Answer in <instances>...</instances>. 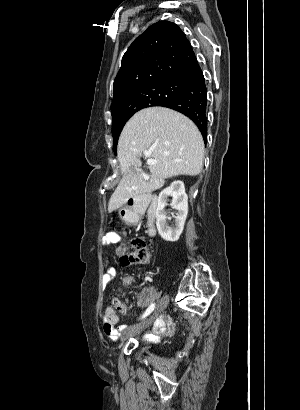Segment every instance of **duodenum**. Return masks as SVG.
Here are the masks:
<instances>
[{"mask_svg":"<svg viewBox=\"0 0 300 410\" xmlns=\"http://www.w3.org/2000/svg\"><path fill=\"white\" fill-rule=\"evenodd\" d=\"M158 210L157 201L154 198H135L129 207L127 222L137 223L142 216L148 220L147 233L154 236L156 233L154 220Z\"/></svg>","mask_w":300,"mask_h":410,"instance_id":"1","label":"duodenum"}]
</instances>
